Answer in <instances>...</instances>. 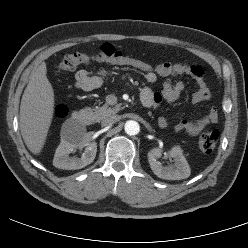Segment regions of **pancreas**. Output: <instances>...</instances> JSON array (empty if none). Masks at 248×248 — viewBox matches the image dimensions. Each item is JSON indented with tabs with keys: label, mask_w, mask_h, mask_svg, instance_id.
Masks as SVG:
<instances>
[{
	"label": "pancreas",
	"mask_w": 248,
	"mask_h": 248,
	"mask_svg": "<svg viewBox=\"0 0 248 248\" xmlns=\"http://www.w3.org/2000/svg\"><path fill=\"white\" fill-rule=\"evenodd\" d=\"M121 109V105L117 104L114 107H109L108 104H104L103 106H96L94 109H90L92 112L93 120L99 121L111 114L117 113Z\"/></svg>",
	"instance_id": "cf45deb5"
}]
</instances>
